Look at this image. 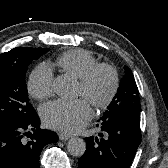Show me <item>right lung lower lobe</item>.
I'll use <instances>...</instances> for the list:
<instances>
[{
	"instance_id": "right-lung-lower-lobe-1",
	"label": "right lung lower lobe",
	"mask_w": 168,
	"mask_h": 168,
	"mask_svg": "<svg viewBox=\"0 0 168 168\" xmlns=\"http://www.w3.org/2000/svg\"><path fill=\"white\" fill-rule=\"evenodd\" d=\"M57 141L55 132L40 129L38 115L28 121L0 120V168H39L43 147Z\"/></svg>"
}]
</instances>
